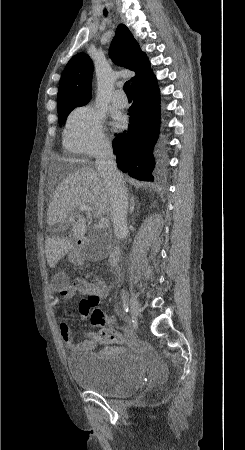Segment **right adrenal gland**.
I'll list each match as a JSON object with an SVG mask.
<instances>
[{
  "mask_svg": "<svg viewBox=\"0 0 245 450\" xmlns=\"http://www.w3.org/2000/svg\"><path fill=\"white\" fill-rule=\"evenodd\" d=\"M135 199L136 198L134 196L130 198V214H132L135 210Z\"/></svg>",
  "mask_w": 245,
  "mask_h": 450,
  "instance_id": "right-adrenal-gland-1",
  "label": "right adrenal gland"
}]
</instances>
